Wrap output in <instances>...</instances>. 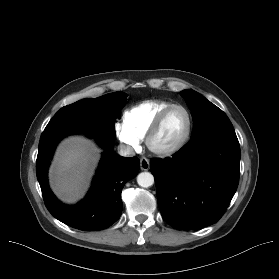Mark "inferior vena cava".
<instances>
[{
	"label": "inferior vena cava",
	"mask_w": 279,
	"mask_h": 279,
	"mask_svg": "<svg viewBox=\"0 0 279 279\" xmlns=\"http://www.w3.org/2000/svg\"><path fill=\"white\" fill-rule=\"evenodd\" d=\"M118 153L120 156L123 157H131L135 155V152L132 147L123 144L118 146Z\"/></svg>",
	"instance_id": "obj_1"
}]
</instances>
